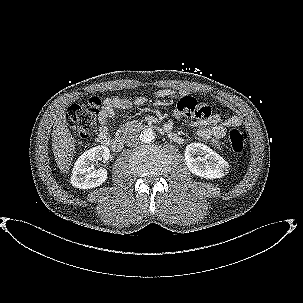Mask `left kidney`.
Instances as JSON below:
<instances>
[{"label": "left kidney", "instance_id": "5707ae66", "mask_svg": "<svg viewBox=\"0 0 303 303\" xmlns=\"http://www.w3.org/2000/svg\"><path fill=\"white\" fill-rule=\"evenodd\" d=\"M185 161L193 174L207 179L223 177L229 167L223 157L201 143H191L186 146Z\"/></svg>", "mask_w": 303, "mask_h": 303}]
</instances>
